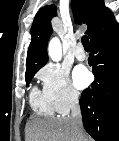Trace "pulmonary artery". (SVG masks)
Instances as JSON below:
<instances>
[{
	"instance_id": "obj_1",
	"label": "pulmonary artery",
	"mask_w": 119,
	"mask_h": 141,
	"mask_svg": "<svg viewBox=\"0 0 119 141\" xmlns=\"http://www.w3.org/2000/svg\"><path fill=\"white\" fill-rule=\"evenodd\" d=\"M75 57L77 60L79 61H83L87 58L86 52L84 51V48L82 46V44H77L76 48H75Z\"/></svg>"
}]
</instances>
